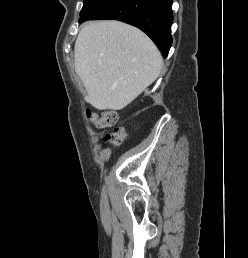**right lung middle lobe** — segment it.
<instances>
[{
	"instance_id": "right-lung-middle-lobe-1",
	"label": "right lung middle lobe",
	"mask_w": 248,
	"mask_h": 258,
	"mask_svg": "<svg viewBox=\"0 0 248 258\" xmlns=\"http://www.w3.org/2000/svg\"><path fill=\"white\" fill-rule=\"evenodd\" d=\"M114 1L115 0H84L83 8L80 12V22L97 16Z\"/></svg>"
}]
</instances>
